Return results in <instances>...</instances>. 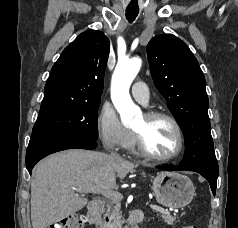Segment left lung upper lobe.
I'll return each mask as SVG.
<instances>
[{
    "label": "left lung upper lobe",
    "instance_id": "obj_1",
    "mask_svg": "<svg viewBox=\"0 0 238 228\" xmlns=\"http://www.w3.org/2000/svg\"><path fill=\"white\" fill-rule=\"evenodd\" d=\"M154 84L184 134L181 165L218 168L208 116L205 77L189 47L172 34L159 35L147 45Z\"/></svg>",
    "mask_w": 238,
    "mask_h": 228
}]
</instances>
